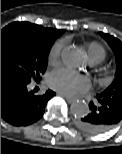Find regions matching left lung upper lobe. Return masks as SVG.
Segmentation results:
<instances>
[{"label": "left lung upper lobe", "instance_id": "5c2ea615", "mask_svg": "<svg viewBox=\"0 0 122 154\" xmlns=\"http://www.w3.org/2000/svg\"><path fill=\"white\" fill-rule=\"evenodd\" d=\"M100 35L108 42L115 53L117 61V70L115 79L111 85L104 91L107 95L116 96L122 101V42L117 38L100 32Z\"/></svg>", "mask_w": 122, "mask_h": 154}]
</instances>
